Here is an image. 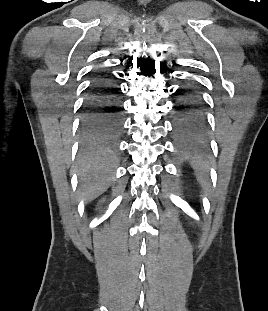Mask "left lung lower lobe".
Returning a JSON list of instances; mask_svg holds the SVG:
<instances>
[{"mask_svg": "<svg viewBox=\"0 0 268 311\" xmlns=\"http://www.w3.org/2000/svg\"><path fill=\"white\" fill-rule=\"evenodd\" d=\"M179 104L175 107V122L178 132L172 133L175 141H202L207 127L201 96L193 84L180 93Z\"/></svg>", "mask_w": 268, "mask_h": 311, "instance_id": "left-lung-lower-lobe-1", "label": "left lung lower lobe"}]
</instances>
